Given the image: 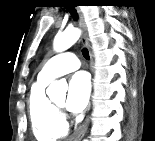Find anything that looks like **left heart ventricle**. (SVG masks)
Here are the masks:
<instances>
[{"label":"left heart ventricle","instance_id":"left-heart-ventricle-1","mask_svg":"<svg viewBox=\"0 0 155 141\" xmlns=\"http://www.w3.org/2000/svg\"><path fill=\"white\" fill-rule=\"evenodd\" d=\"M56 104H58L59 106H63L64 105V100L56 101Z\"/></svg>","mask_w":155,"mask_h":141}]
</instances>
